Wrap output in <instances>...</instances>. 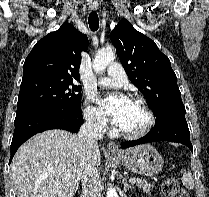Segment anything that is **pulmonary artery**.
<instances>
[{
	"label": "pulmonary artery",
	"instance_id": "pulmonary-artery-1",
	"mask_svg": "<svg viewBox=\"0 0 209 197\" xmlns=\"http://www.w3.org/2000/svg\"><path fill=\"white\" fill-rule=\"evenodd\" d=\"M107 75L100 78V84L110 87H121L127 83V76L119 63H111Z\"/></svg>",
	"mask_w": 209,
	"mask_h": 197
}]
</instances>
